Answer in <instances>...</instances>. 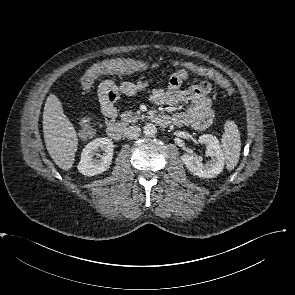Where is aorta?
<instances>
[{"label": "aorta", "mask_w": 295, "mask_h": 295, "mask_svg": "<svg viewBox=\"0 0 295 295\" xmlns=\"http://www.w3.org/2000/svg\"><path fill=\"white\" fill-rule=\"evenodd\" d=\"M144 134L145 136H148V137H154L155 134L157 133V128L155 127L154 124H147L144 126Z\"/></svg>", "instance_id": "aorta-1"}]
</instances>
